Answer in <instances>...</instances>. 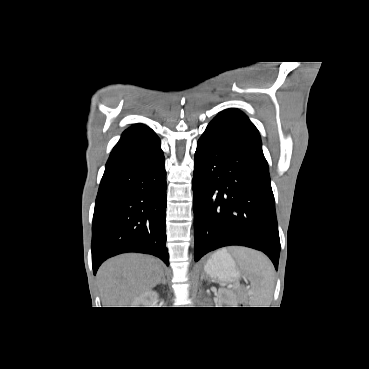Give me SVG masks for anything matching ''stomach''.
<instances>
[{"label":"stomach","mask_w":369,"mask_h":369,"mask_svg":"<svg viewBox=\"0 0 369 369\" xmlns=\"http://www.w3.org/2000/svg\"><path fill=\"white\" fill-rule=\"evenodd\" d=\"M204 270L210 277L223 282L234 281L240 276L235 261L225 249L214 253L204 265Z\"/></svg>","instance_id":"obj_1"}]
</instances>
